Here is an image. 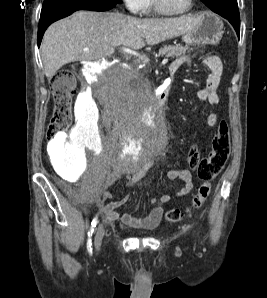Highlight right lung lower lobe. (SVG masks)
<instances>
[{
  "label": "right lung lower lobe",
  "mask_w": 267,
  "mask_h": 298,
  "mask_svg": "<svg viewBox=\"0 0 267 298\" xmlns=\"http://www.w3.org/2000/svg\"><path fill=\"white\" fill-rule=\"evenodd\" d=\"M117 3L111 0H53L42 6L38 27V46L47 27L77 10L106 11Z\"/></svg>",
  "instance_id": "98d812e1"
}]
</instances>
